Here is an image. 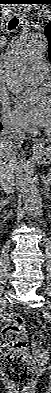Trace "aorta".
<instances>
[{
  "mask_svg": "<svg viewBox=\"0 0 51 393\" xmlns=\"http://www.w3.org/2000/svg\"><path fill=\"white\" fill-rule=\"evenodd\" d=\"M48 44L46 37L41 33H30L18 35L10 44L6 69L9 79L22 69L29 66L32 62L41 59L47 53ZM11 92L20 97L28 98L27 92L19 84L11 81L9 86ZM20 163L24 167V173L20 180V191L25 208L36 218L43 215V205L37 186L34 184L28 170L25 169L26 152H21Z\"/></svg>",
  "mask_w": 51,
  "mask_h": 393,
  "instance_id": "762f6f07",
  "label": "aorta"
}]
</instances>
